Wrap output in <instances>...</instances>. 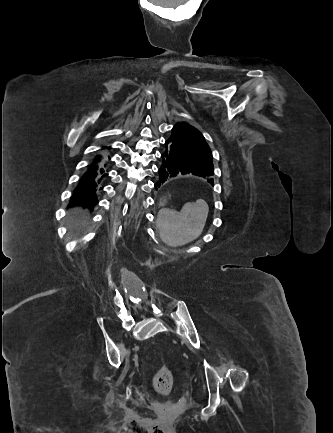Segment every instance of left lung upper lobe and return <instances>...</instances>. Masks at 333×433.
Masks as SVG:
<instances>
[{"label": "left lung upper lobe", "mask_w": 333, "mask_h": 433, "mask_svg": "<svg viewBox=\"0 0 333 433\" xmlns=\"http://www.w3.org/2000/svg\"><path fill=\"white\" fill-rule=\"evenodd\" d=\"M168 141L176 142L201 159L212 163V153L204 136L188 123H177L172 129V134L168 138Z\"/></svg>", "instance_id": "left-lung-upper-lobe-1"}]
</instances>
